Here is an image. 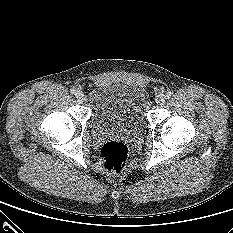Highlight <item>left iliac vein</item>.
<instances>
[{
	"instance_id": "4c4485c4",
	"label": "left iliac vein",
	"mask_w": 233,
	"mask_h": 233,
	"mask_svg": "<svg viewBox=\"0 0 233 233\" xmlns=\"http://www.w3.org/2000/svg\"><path fill=\"white\" fill-rule=\"evenodd\" d=\"M165 100H166V96L163 95V94H159L157 97H156V103L158 105H163L165 103Z\"/></svg>"
}]
</instances>
